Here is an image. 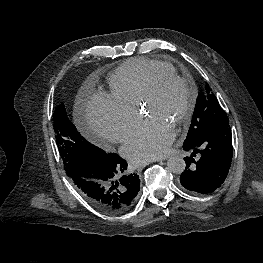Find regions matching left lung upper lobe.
I'll return each instance as SVG.
<instances>
[{"instance_id":"1","label":"left lung upper lobe","mask_w":263,"mask_h":263,"mask_svg":"<svg viewBox=\"0 0 263 263\" xmlns=\"http://www.w3.org/2000/svg\"><path fill=\"white\" fill-rule=\"evenodd\" d=\"M223 122H229V119L206 84L205 90L198 95L192 122L184 143H191L201 138L207 130Z\"/></svg>"}]
</instances>
